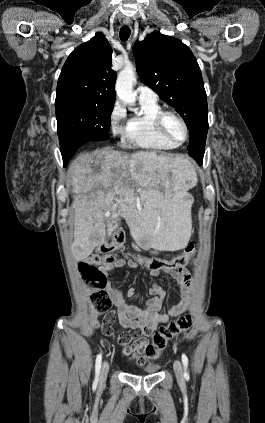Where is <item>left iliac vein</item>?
Wrapping results in <instances>:
<instances>
[{"instance_id":"1","label":"left iliac vein","mask_w":265,"mask_h":423,"mask_svg":"<svg viewBox=\"0 0 265 423\" xmlns=\"http://www.w3.org/2000/svg\"><path fill=\"white\" fill-rule=\"evenodd\" d=\"M174 371L177 377V380L182 382L183 381V368H182V364L179 360H176L174 362Z\"/></svg>"}]
</instances>
